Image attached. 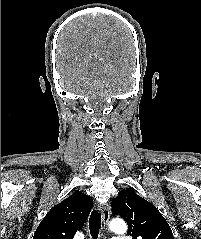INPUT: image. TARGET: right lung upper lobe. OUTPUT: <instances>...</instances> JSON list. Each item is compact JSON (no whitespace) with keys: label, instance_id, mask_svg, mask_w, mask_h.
Returning a JSON list of instances; mask_svg holds the SVG:
<instances>
[{"label":"right lung upper lobe","instance_id":"obj_1","mask_svg":"<svg viewBox=\"0 0 201 239\" xmlns=\"http://www.w3.org/2000/svg\"><path fill=\"white\" fill-rule=\"evenodd\" d=\"M93 199L79 191L55 205L39 224L33 239H73L82 229Z\"/></svg>","mask_w":201,"mask_h":239}]
</instances>
